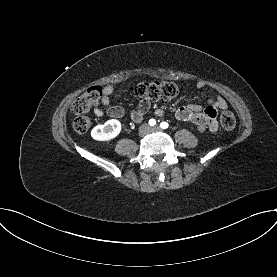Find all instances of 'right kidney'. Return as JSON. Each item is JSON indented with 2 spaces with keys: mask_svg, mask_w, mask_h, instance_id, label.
Wrapping results in <instances>:
<instances>
[{
  "mask_svg": "<svg viewBox=\"0 0 277 277\" xmlns=\"http://www.w3.org/2000/svg\"><path fill=\"white\" fill-rule=\"evenodd\" d=\"M121 123L116 119H111L103 125L95 126L91 131V136L97 141H110L119 135Z\"/></svg>",
  "mask_w": 277,
  "mask_h": 277,
  "instance_id": "obj_1",
  "label": "right kidney"
}]
</instances>
